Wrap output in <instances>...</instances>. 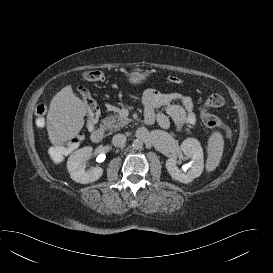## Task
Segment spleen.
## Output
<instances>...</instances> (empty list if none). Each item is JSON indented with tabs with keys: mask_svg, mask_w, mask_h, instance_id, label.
Listing matches in <instances>:
<instances>
[{
	"mask_svg": "<svg viewBox=\"0 0 273 273\" xmlns=\"http://www.w3.org/2000/svg\"><path fill=\"white\" fill-rule=\"evenodd\" d=\"M224 149V139L220 132L216 131L208 139L206 170L211 172L219 165Z\"/></svg>",
	"mask_w": 273,
	"mask_h": 273,
	"instance_id": "obj_1",
	"label": "spleen"
}]
</instances>
